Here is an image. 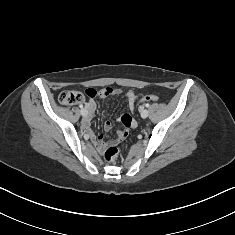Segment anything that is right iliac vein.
Listing matches in <instances>:
<instances>
[{
	"label": "right iliac vein",
	"instance_id": "right-iliac-vein-1",
	"mask_svg": "<svg viewBox=\"0 0 235 235\" xmlns=\"http://www.w3.org/2000/svg\"><path fill=\"white\" fill-rule=\"evenodd\" d=\"M81 115L86 118L88 116L87 114V111L84 109V110H81Z\"/></svg>",
	"mask_w": 235,
	"mask_h": 235
}]
</instances>
